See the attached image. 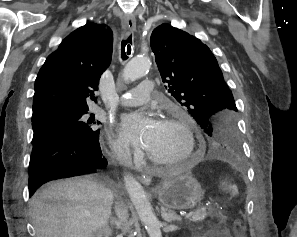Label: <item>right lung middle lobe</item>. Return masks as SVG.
<instances>
[{
  "mask_svg": "<svg viewBox=\"0 0 297 237\" xmlns=\"http://www.w3.org/2000/svg\"><path fill=\"white\" fill-rule=\"evenodd\" d=\"M86 112L59 111L32 120L33 140L49 130H65L83 141H95L99 137V129H92L94 116L85 117Z\"/></svg>",
  "mask_w": 297,
  "mask_h": 237,
  "instance_id": "dd1d6c3e",
  "label": "right lung middle lobe"
}]
</instances>
